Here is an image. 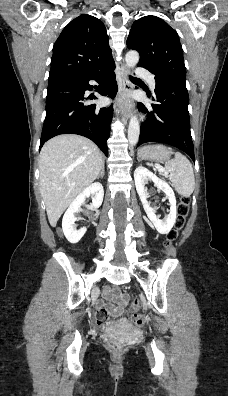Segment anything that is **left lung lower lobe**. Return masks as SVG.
<instances>
[{
    "instance_id": "left-lung-lower-lobe-1",
    "label": "left lung lower lobe",
    "mask_w": 228,
    "mask_h": 396,
    "mask_svg": "<svg viewBox=\"0 0 228 396\" xmlns=\"http://www.w3.org/2000/svg\"><path fill=\"white\" fill-rule=\"evenodd\" d=\"M148 97H150L148 95ZM152 110L138 103L147 114L142 123L138 145L159 142L172 145L187 153L195 161L188 112L189 96L185 81L178 79L156 80Z\"/></svg>"
}]
</instances>
